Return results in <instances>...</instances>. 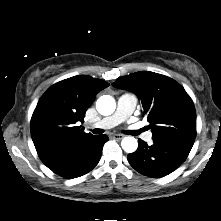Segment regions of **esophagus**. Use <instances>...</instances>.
Returning a JSON list of instances; mask_svg holds the SVG:
<instances>
[{"instance_id": "obj_1", "label": "esophagus", "mask_w": 221, "mask_h": 221, "mask_svg": "<svg viewBox=\"0 0 221 221\" xmlns=\"http://www.w3.org/2000/svg\"><path fill=\"white\" fill-rule=\"evenodd\" d=\"M113 138L116 139V140H121V139L123 138V135L114 134V135H113Z\"/></svg>"}]
</instances>
